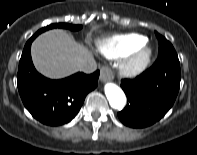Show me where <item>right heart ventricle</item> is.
<instances>
[{
  "mask_svg": "<svg viewBox=\"0 0 197 155\" xmlns=\"http://www.w3.org/2000/svg\"><path fill=\"white\" fill-rule=\"evenodd\" d=\"M146 43V37L140 34L113 35L97 42L98 51L109 59H115L131 53Z\"/></svg>",
  "mask_w": 197,
  "mask_h": 155,
  "instance_id": "right-heart-ventricle-1",
  "label": "right heart ventricle"
}]
</instances>
